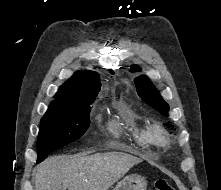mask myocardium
<instances>
[{
	"mask_svg": "<svg viewBox=\"0 0 221 190\" xmlns=\"http://www.w3.org/2000/svg\"><path fill=\"white\" fill-rule=\"evenodd\" d=\"M147 132L152 143L160 145H167L169 143V136L160 124H150L147 128Z\"/></svg>",
	"mask_w": 221,
	"mask_h": 190,
	"instance_id": "myocardium-1",
	"label": "myocardium"
}]
</instances>
